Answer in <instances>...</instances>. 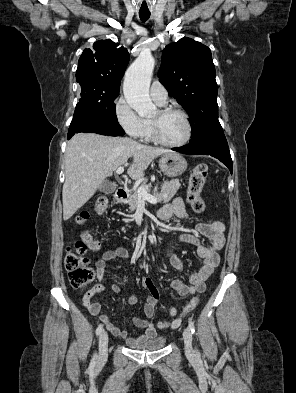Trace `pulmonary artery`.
I'll use <instances>...</instances> for the list:
<instances>
[{
	"instance_id": "pulmonary-artery-1",
	"label": "pulmonary artery",
	"mask_w": 296,
	"mask_h": 393,
	"mask_svg": "<svg viewBox=\"0 0 296 393\" xmlns=\"http://www.w3.org/2000/svg\"><path fill=\"white\" fill-rule=\"evenodd\" d=\"M150 95L152 100L158 105H165L168 99L166 88L157 80L153 81L150 87Z\"/></svg>"
}]
</instances>
